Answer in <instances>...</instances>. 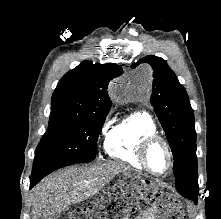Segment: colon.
<instances>
[{
	"mask_svg": "<svg viewBox=\"0 0 221 219\" xmlns=\"http://www.w3.org/2000/svg\"><path fill=\"white\" fill-rule=\"evenodd\" d=\"M148 192H140L139 205L134 209V212L139 209H146L154 200L147 199ZM118 200L128 201L129 205L135 204V198L128 195V189L125 185H119L114 190L103 194L96 202L90 204L86 208L75 210L70 219H95V214L100 218H110L114 211L118 208ZM157 207L165 219H185L181 211L172 210L166 199H158Z\"/></svg>",
	"mask_w": 221,
	"mask_h": 219,
	"instance_id": "colon-1",
	"label": "colon"
}]
</instances>
